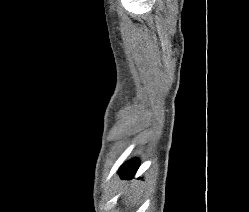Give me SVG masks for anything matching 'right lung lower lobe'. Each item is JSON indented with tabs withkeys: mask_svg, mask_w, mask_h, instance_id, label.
Returning a JSON list of instances; mask_svg holds the SVG:
<instances>
[{
	"mask_svg": "<svg viewBox=\"0 0 249 212\" xmlns=\"http://www.w3.org/2000/svg\"><path fill=\"white\" fill-rule=\"evenodd\" d=\"M139 167V162L137 160H131L126 162L121 169L119 170L118 174L121 178H131L136 173L137 169Z\"/></svg>",
	"mask_w": 249,
	"mask_h": 212,
	"instance_id": "right-lung-lower-lobe-1",
	"label": "right lung lower lobe"
}]
</instances>
